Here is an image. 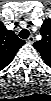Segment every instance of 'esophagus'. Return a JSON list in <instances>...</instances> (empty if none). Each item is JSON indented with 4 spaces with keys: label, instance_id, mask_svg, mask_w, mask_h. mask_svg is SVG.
<instances>
[{
    "label": "esophagus",
    "instance_id": "1",
    "mask_svg": "<svg viewBox=\"0 0 51 101\" xmlns=\"http://www.w3.org/2000/svg\"><path fill=\"white\" fill-rule=\"evenodd\" d=\"M27 43L32 44L34 42V37L31 35L28 37V39L26 40Z\"/></svg>",
    "mask_w": 51,
    "mask_h": 101
}]
</instances>
